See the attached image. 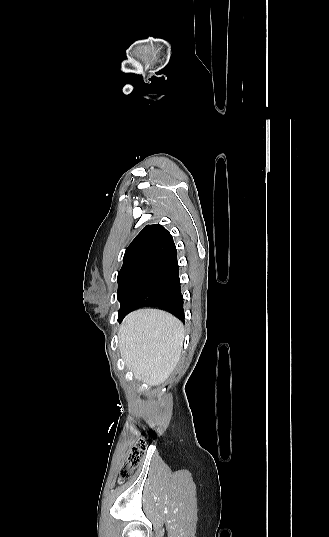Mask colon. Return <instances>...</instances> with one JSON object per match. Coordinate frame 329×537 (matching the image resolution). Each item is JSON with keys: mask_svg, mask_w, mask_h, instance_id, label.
<instances>
[{"mask_svg": "<svg viewBox=\"0 0 329 537\" xmlns=\"http://www.w3.org/2000/svg\"><path fill=\"white\" fill-rule=\"evenodd\" d=\"M146 449V439L137 440L129 450L126 460L119 470L118 483H123L130 479L141 462Z\"/></svg>", "mask_w": 329, "mask_h": 537, "instance_id": "5ec220e1", "label": "colon"}]
</instances>
